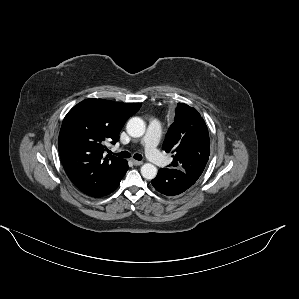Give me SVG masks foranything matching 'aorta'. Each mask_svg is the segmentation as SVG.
Returning a JSON list of instances; mask_svg holds the SVG:
<instances>
[{"mask_svg":"<svg viewBox=\"0 0 299 299\" xmlns=\"http://www.w3.org/2000/svg\"><path fill=\"white\" fill-rule=\"evenodd\" d=\"M126 130L132 137H141L146 130L145 122L140 117H133L128 121ZM141 174L147 180L154 179L157 175V168L151 163H145L141 167Z\"/></svg>","mask_w":299,"mask_h":299,"instance_id":"obj_1","label":"aorta"}]
</instances>
